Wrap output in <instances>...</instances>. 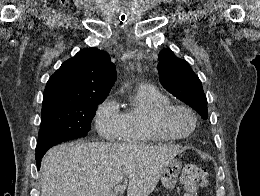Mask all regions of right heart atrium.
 Listing matches in <instances>:
<instances>
[{
  "mask_svg": "<svg viewBox=\"0 0 260 196\" xmlns=\"http://www.w3.org/2000/svg\"><path fill=\"white\" fill-rule=\"evenodd\" d=\"M94 121L100 140L97 143H111L117 130L123 127V117L117 102L112 97H106L96 108ZM130 192H143L131 190Z\"/></svg>",
  "mask_w": 260,
  "mask_h": 196,
  "instance_id": "obj_1",
  "label": "right heart atrium"
}]
</instances>
